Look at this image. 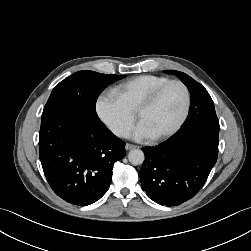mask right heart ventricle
Wrapping results in <instances>:
<instances>
[{"instance_id":"e07e8e85","label":"right heart ventricle","mask_w":251,"mask_h":251,"mask_svg":"<svg viewBox=\"0 0 251 251\" xmlns=\"http://www.w3.org/2000/svg\"><path fill=\"white\" fill-rule=\"evenodd\" d=\"M168 77L157 75H140L121 83L115 89L127 108L136 113L139 105Z\"/></svg>"}]
</instances>
